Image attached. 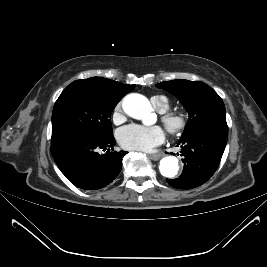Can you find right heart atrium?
I'll return each mask as SVG.
<instances>
[{
	"instance_id": "obj_1",
	"label": "right heart atrium",
	"mask_w": 267,
	"mask_h": 267,
	"mask_svg": "<svg viewBox=\"0 0 267 267\" xmlns=\"http://www.w3.org/2000/svg\"><path fill=\"white\" fill-rule=\"evenodd\" d=\"M122 119L121 105L118 104L113 112V120L119 122Z\"/></svg>"
}]
</instances>
